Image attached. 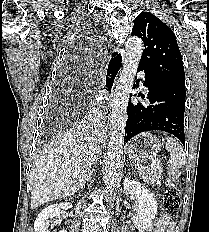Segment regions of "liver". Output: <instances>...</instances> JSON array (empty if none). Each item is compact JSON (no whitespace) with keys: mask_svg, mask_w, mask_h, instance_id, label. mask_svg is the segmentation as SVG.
<instances>
[{"mask_svg":"<svg viewBox=\"0 0 209 232\" xmlns=\"http://www.w3.org/2000/svg\"><path fill=\"white\" fill-rule=\"evenodd\" d=\"M94 146L88 125H77L45 146L33 164L31 208L75 194L94 161Z\"/></svg>","mask_w":209,"mask_h":232,"instance_id":"1","label":"liver"}]
</instances>
